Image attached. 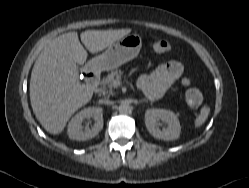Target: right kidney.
<instances>
[{"instance_id": "obj_1", "label": "right kidney", "mask_w": 249, "mask_h": 188, "mask_svg": "<svg viewBox=\"0 0 249 188\" xmlns=\"http://www.w3.org/2000/svg\"><path fill=\"white\" fill-rule=\"evenodd\" d=\"M94 117V125L84 128L85 119ZM103 128V110L100 107H88L77 113L69 122L67 133L72 140H88L95 137Z\"/></svg>"}]
</instances>
